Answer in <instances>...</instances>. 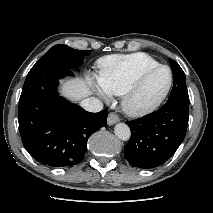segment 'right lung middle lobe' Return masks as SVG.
Masks as SVG:
<instances>
[{"label":"right lung middle lobe","instance_id":"1","mask_svg":"<svg viewBox=\"0 0 213 213\" xmlns=\"http://www.w3.org/2000/svg\"><path fill=\"white\" fill-rule=\"evenodd\" d=\"M91 51L76 50L66 45L53 46L47 53L32 67L38 68L48 64H60L70 69L78 68L83 63V58Z\"/></svg>","mask_w":213,"mask_h":213}]
</instances>
